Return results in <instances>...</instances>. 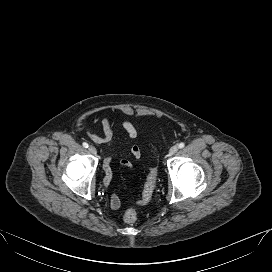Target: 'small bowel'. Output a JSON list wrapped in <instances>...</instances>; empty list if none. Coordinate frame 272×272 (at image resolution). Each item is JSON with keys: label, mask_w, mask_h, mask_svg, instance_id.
<instances>
[{"label": "small bowel", "mask_w": 272, "mask_h": 272, "mask_svg": "<svg viewBox=\"0 0 272 272\" xmlns=\"http://www.w3.org/2000/svg\"><path fill=\"white\" fill-rule=\"evenodd\" d=\"M101 125H102V129H103L102 135H98V134L89 132V133H87V136L89 137L90 140H92L95 143L106 144L108 146V149H110V147L115 142V136H114V133H113V130L111 127V123H110V120L108 119V117L102 118ZM122 127H123L124 131L126 132L128 140H133L138 136V130L131 121L123 120ZM130 154L135 159L140 158V156H141L140 148L137 145H132L130 148ZM110 163H111V157L107 156L103 162L104 170H105V172L107 171V173H108V175H105V178L103 181L104 185L106 187L109 186L111 179H112V171L110 168ZM120 164L124 168L132 169V163L127 159H123L120 162ZM110 206L112 209H118L120 207V198H119L118 194H113L111 196Z\"/></svg>", "instance_id": "small-bowel-1"}]
</instances>
